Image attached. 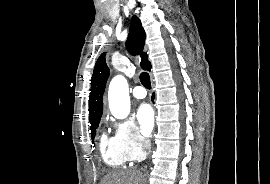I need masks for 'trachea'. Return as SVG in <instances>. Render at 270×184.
<instances>
[{"mask_svg": "<svg viewBox=\"0 0 270 184\" xmlns=\"http://www.w3.org/2000/svg\"><path fill=\"white\" fill-rule=\"evenodd\" d=\"M140 81L142 83V85L144 87H146L147 89L151 88V84H150V77L149 74L146 72H143L140 74Z\"/></svg>", "mask_w": 270, "mask_h": 184, "instance_id": "obj_1", "label": "trachea"}]
</instances>
